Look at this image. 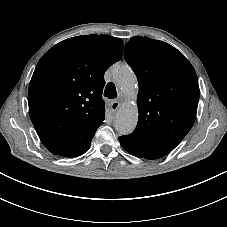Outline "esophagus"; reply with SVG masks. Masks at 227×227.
Segmentation results:
<instances>
[{
    "instance_id": "obj_1",
    "label": "esophagus",
    "mask_w": 227,
    "mask_h": 227,
    "mask_svg": "<svg viewBox=\"0 0 227 227\" xmlns=\"http://www.w3.org/2000/svg\"><path fill=\"white\" fill-rule=\"evenodd\" d=\"M120 107V102L119 101H113L110 104V108L113 112H116Z\"/></svg>"
}]
</instances>
